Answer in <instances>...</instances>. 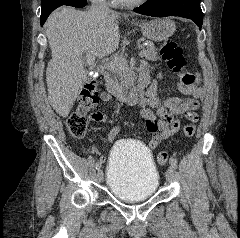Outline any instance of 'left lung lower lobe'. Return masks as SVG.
Returning <instances> with one entry per match:
<instances>
[{
  "label": "left lung lower lobe",
  "instance_id": "obj_1",
  "mask_svg": "<svg viewBox=\"0 0 240 238\" xmlns=\"http://www.w3.org/2000/svg\"><path fill=\"white\" fill-rule=\"evenodd\" d=\"M134 11L153 17L179 16L188 18L195 22L200 29L203 23L200 0H148L140 7L135 8Z\"/></svg>",
  "mask_w": 240,
  "mask_h": 238
}]
</instances>
